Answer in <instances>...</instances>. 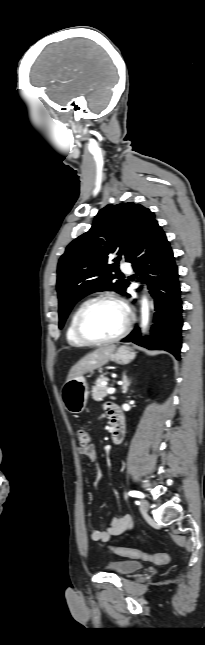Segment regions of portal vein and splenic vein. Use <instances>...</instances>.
<instances>
[{
    "instance_id": "portal-vein-and-splenic-vein-1",
    "label": "portal vein and splenic vein",
    "mask_w": 205,
    "mask_h": 645,
    "mask_svg": "<svg viewBox=\"0 0 205 645\" xmlns=\"http://www.w3.org/2000/svg\"><path fill=\"white\" fill-rule=\"evenodd\" d=\"M115 391H116V389L112 387V388H109V389L107 390V393H108V394H114V393H115Z\"/></svg>"
}]
</instances>
